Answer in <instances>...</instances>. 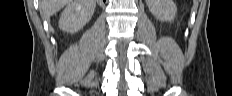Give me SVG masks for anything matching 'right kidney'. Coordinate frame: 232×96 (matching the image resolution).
I'll use <instances>...</instances> for the list:
<instances>
[{
	"mask_svg": "<svg viewBox=\"0 0 232 96\" xmlns=\"http://www.w3.org/2000/svg\"><path fill=\"white\" fill-rule=\"evenodd\" d=\"M95 6V0H72L61 14L60 29L69 33L79 31L90 21Z\"/></svg>",
	"mask_w": 232,
	"mask_h": 96,
	"instance_id": "right-kidney-1",
	"label": "right kidney"
}]
</instances>
